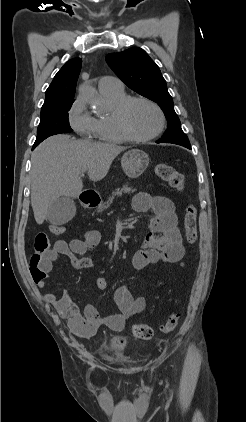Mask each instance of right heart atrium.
Here are the masks:
<instances>
[{
    "instance_id": "1",
    "label": "right heart atrium",
    "mask_w": 246,
    "mask_h": 422,
    "mask_svg": "<svg viewBox=\"0 0 246 422\" xmlns=\"http://www.w3.org/2000/svg\"><path fill=\"white\" fill-rule=\"evenodd\" d=\"M68 121L71 128L85 139L97 137V122L87 110L84 101L77 98L68 111Z\"/></svg>"
}]
</instances>
